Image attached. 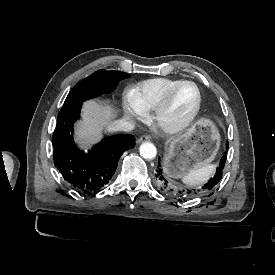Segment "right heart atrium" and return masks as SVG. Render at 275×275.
I'll return each instance as SVG.
<instances>
[{
    "mask_svg": "<svg viewBox=\"0 0 275 275\" xmlns=\"http://www.w3.org/2000/svg\"><path fill=\"white\" fill-rule=\"evenodd\" d=\"M124 108L128 120L132 123L143 121L146 116V113L135 105L132 95H127L125 97Z\"/></svg>",
    "mask_w": 275,
    "mask_h": 275,
    "instance_id": "obj_1",
    "label": "right heart atrium"
}]
</instances>
